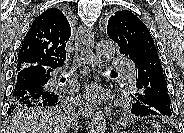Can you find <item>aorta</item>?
Masks as SVG:
<instances>
[{
    "label": "aorta",
    "instance_id": "762f6f07",
    "mask_svg": "<svg viewBox=\"0 0 184 133\" xmlns=\"http://www.w3.org/2000/svg\"><path fill=\"white\" fill-rule=\"evenodd\" d=\"M116 49L112 42L100 41L96 44V55L100 63H109L114 55ZM106 132V120L104 113L101 109H98L92 116L89 124L88 133H105Z\"/></svg>",
    "mask_w": 184,
    "mask_h": 133
}]
</instances>
